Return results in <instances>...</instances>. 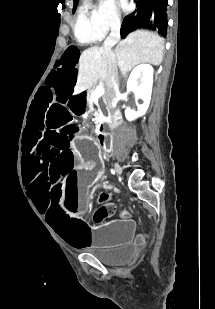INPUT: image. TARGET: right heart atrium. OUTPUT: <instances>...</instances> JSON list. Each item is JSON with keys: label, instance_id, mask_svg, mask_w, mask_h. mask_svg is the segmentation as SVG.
<instances>
[{"label": "right heart atrium", "instance_id": "d8ad5b80", "mask_svg": "<svg viewBox=\"0 0 215 309\" xmlns=\"http://www.w3.org/2000/svg\"><path fill=\"white\" fill-rule=\"evenodd\" d=\"M101 6L93 15V25L99 29L102 36L115 34L121 27V16L115 0H102Z\"/></svg>", "mask_w": 215, "mask_h": 309}]
</instances>
